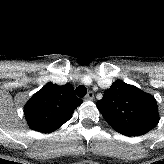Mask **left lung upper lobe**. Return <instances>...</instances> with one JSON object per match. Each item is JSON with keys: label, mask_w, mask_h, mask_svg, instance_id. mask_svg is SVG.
<instances>
[{"label": "left lung upper lobe", "mask_w": 164, "mask_h": 164, "mask_svg": "<svg viewBox=\"0 0 164 164\" xmlns=\"http://www.w3.org/2000/svg\"><path fill=\"white\" fill-rule=\"evenodd\" d=\"M96 106L107 123L126 136L143 135L159 122L154 96L121 80L113 82Z\"/></svg>", "instance_id": "obj_1"}]
</instances>
